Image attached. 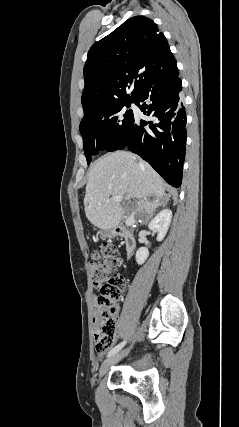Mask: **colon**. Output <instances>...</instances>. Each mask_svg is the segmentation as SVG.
I'll return each instance as SVG.
<instances>
[{
  "label": "colon",
  "mask_w": 239,
  "mask_h": 427,
  "mask_svg": "<svg viewBox=\"0 0 239 427\" xmlns=\"http://www.w3.org/2000/svg\"><path fill=\"white\" fill-rule=\"evenodd\" d=\"M118 249L112 243H104L92 255L90 273L99 291L94 303L95 347L104 353L113 343L116 330V303L125 288V278L117 273Z\"/></svg>",
  "instance_id": "1"
}]
</instances>
